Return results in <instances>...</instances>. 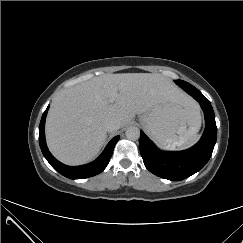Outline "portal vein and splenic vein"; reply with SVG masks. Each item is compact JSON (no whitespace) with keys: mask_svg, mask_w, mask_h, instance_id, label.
Masks as SVG:
<instances>
[{"mask_svg":"<svg viewBox=\"0 0 243 243\" xmlns=\"http://www.w3.org/2000/svg\"><path fill=\"white\" fill-rule=\"evenodd\" d=\"M115 98H116V93L114 92V93H112V94L110 95V97H109V102H110V103H113L114 100H115Z\"/></svg>","mask_w":243,"mask_h":243,"instance_id":"1","label":"portal vein and splenic vein"}]
</instances>
